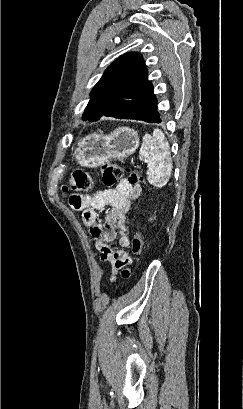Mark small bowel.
Segmentation results:
<instances>
[{
  "instance_id": "1",
  "label": "small bowel",
  "mask_w": 243,
  "mask_h": 409,
  "mask_svg": "<svg viewBox=\"0 0 243 409\" xmlns=\"http://www.w3.org/2000/svg\"><path fill=\"white\" fill-rule=\"evenodd\" d=\"M141 193L140 185H131L127 180H122L117 186L111 189L100 190L88 195H73L71 203L76 210L82 211V219L88 229L95 248L104 262L111 263V278L115 281L118 270L130 265L134 261V256L129 255L124 249L114 250L108 243L118 237L119 245L123 248L131 245V239L126 233V221L130 212L131 203L138 198ZM108 206L109 210L105 220L102 221L97 214L100 210Z\"/></svg>"
}]
</instances>
